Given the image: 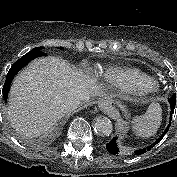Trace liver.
<instances>
[{
	"label": "liver",
	"mask_w": 177,
	"mask_h": 177,
	"mask_svg": "<svg viewBox=\"0 0 177 177\" xmlns=\"http://www.w3.org/2000/svg\"><path fill=\"white\" fill-rule=\"evenodd\" d=\"M102 95L95 79L72 68L63 59L33 60L15 78L9 96L7 117L22 136L37 137L64 116L62 101L77 97L88 101Z\"/></svg>",
	"instance_id": "obj_1"
}]
</instances>
